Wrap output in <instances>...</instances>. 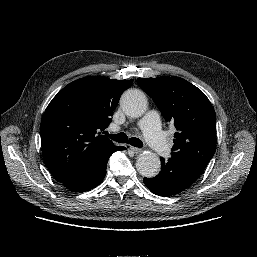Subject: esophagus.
<instances>
[{
    "instance_id": "34e87169",
    "label": "esophagus",
    "mask_w": 257,
    "mask_h": 257,
    "mask_svg": "<svg viewBox=\"0 0 257 257\" xmlns=\"http://www.w3.org/2000/svg\"><path fill=\"white\" fill-rule=\"evenodd\" d=\"M130 149L135 153V154H140L142 152L141 148H136L131 146Z\"/></svg>"
}]
</instances>
